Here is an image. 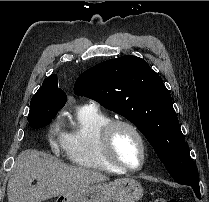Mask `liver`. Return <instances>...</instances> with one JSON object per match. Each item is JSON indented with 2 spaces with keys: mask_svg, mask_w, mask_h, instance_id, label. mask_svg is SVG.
<instances>
[{
  "mask_svg": "<svg viewBox=\"0 0 209 202\" xmlns=\"http://www.w3.org/2000/svg\"><path fill=\"white\" fill-rule=\"evenodd\" d=\"M108 179L100 172L66 165L46 153L25 150L16 158L10 175L8 201L42 202ZM34 180L36 185H32Z\"/></svg>",
  "mask_w": 209,
  "mask_h": 202,
  "instance_id": "liver-1",
  "label": "liver"
}]
</instances>
